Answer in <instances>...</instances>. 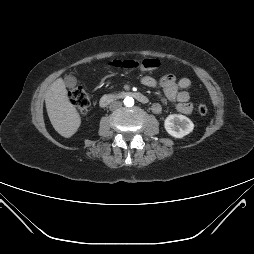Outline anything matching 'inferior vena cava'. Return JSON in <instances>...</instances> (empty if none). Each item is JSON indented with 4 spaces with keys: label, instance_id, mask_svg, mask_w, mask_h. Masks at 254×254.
<instances>
[{
    "label": "inferior vena cava",
    "instance_id": "1",
    "mask_svg": "<svg viewBox=\"0 0 254 254\" xmlns=\"http://www.w3.org/2000/svg\"><path fill=\"white\" fill-rule=\"evenodd\" d=\"M121 106H122V103H121L120 101H113V102L110 104L109 109H110L111 111H113V110H117V109L121 108Z\"/></svg>",
    "mask_w": 254,
    "mask_h": 254
}]
</instances>
